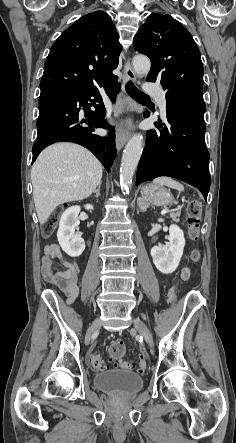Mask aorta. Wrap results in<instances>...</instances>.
<instances>
[{"mask_svg": "<svg viewBox=\"0 0 236 443\" xmlns=\"http://www.w3.org/2000/svg\"><path fill=\"white\" fill-rule=\"evenodd\" d=\"M151 63L148 57L137 55L133 59V69L137 74H148ZM143 151V136L135 134L127 143L122 155L120 180L122 188L128 190Z\"/></svg>", "mask_w": 236, "mask_h": 443, "instance_id": "1", "label": "aorta"}]
</instances>
